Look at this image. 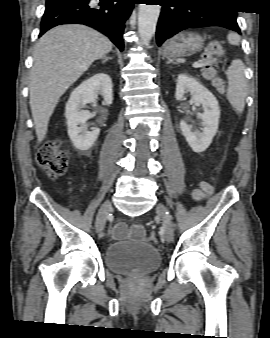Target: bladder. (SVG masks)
I'll return each mask as SVG.
<instances>
[{
	"instance_id": "bladder-1",
	"label": "bladder",
	"mask_w": 270,
	"mask_h": 338,
	"mask_svg": "<svg viewBox=\"0 0 270 338\" xmlns=\"http://www.w3.org/2000/svg\"><path fill=\"white\" fill-rule=\"evenodd\" d=\"M159 250L145 242H111L105 250L107 268L121 275H144L155 271L161 264Z\"/></svg>"
}]
</instances>
